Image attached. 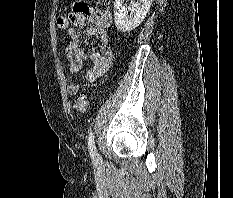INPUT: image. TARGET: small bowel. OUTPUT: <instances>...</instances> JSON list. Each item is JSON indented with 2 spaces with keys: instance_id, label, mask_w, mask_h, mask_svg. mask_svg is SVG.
<instances>
[{
  "instance_id": "c3829d8e",
  "label": "small bowel",
  "mask_w": 233,
  "mask_h": 198,
  "mask_svg": "<svg viewBox=\"0 0 233 198\" xmlns=\"http://www.w3.org/2000/svg\"><path fill=\"white\" fill-rule=\"evenodd\" d=\"M112 18V13L109 10L98 11L82 1L73 4L69 15V20L73 27L67 30L70 42L64 50L71 76L80 74L86 62L92 63V66L85 71V79L89 82H94L102 77L110 68L114 56L112 51L106 47V30L111 25ZM87 23L90 26L84 32H80L77 29ZM90 36L98 38L102 47L97 52L88 55L80 47V43L83 39ZM79 89L80 84L68 82L67 93L70 96L76 95Z\"/></svg>"
}]
</instances>
